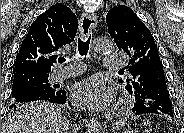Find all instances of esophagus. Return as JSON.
Wrapping results in <instances>:
<instances>
[{
	"instance_id": "34e87169",
	"label": "esophagus",
	"mask_w": 184,
	"mask_h": 133,
	"mask_svg": "<svg viewBox=\"0 0 184 133\" xmlns=\"http://www.w3.org/2000/svg\"><path fill=\"white\" fill-rule=\"evenodd\" d=\"M97 20L95 15L84 13L79 21V34L82 39H85L88 34L96 27ZM88 128L90 131L98 132L101 129L100 123L94 118L88 122Z\"/></svg>"
}]
</instances>
